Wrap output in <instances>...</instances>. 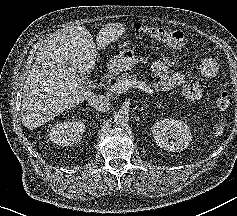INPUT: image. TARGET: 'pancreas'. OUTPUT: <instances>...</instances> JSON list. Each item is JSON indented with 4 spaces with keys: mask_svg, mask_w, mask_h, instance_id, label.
Returning <instances> with one entry per match:
<instances>
[{
    "mask_svg": "<svg viewBox=\"0 0 237 216\" xmlns=\"http://www.w3.org/2000/svg\"><path fill=\"white\" fill-rule=\"evenodd\" d=\"M138 76L136 75V74H132V73H126V74H124L123 76H122V80H127V79H129V78H137ZM139 81L140 82H142L140 79H139ZM154 83H151V84H146V83H144V87L146 88V89H151L152 90V93H154V90H153V88H152V85H153Z\"/></svg>",
    "mask_w": 237,
    "mask_h": 216,
    "instance_id": "cf45deb5",
    "label": "pancreas"
}]
</instances>
